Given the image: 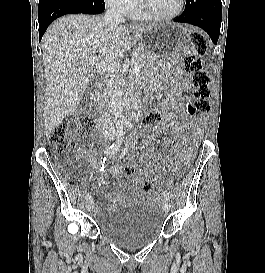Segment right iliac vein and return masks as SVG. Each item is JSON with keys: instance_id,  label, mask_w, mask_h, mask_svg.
Segmentation results:
<instances>
[{"instance_id": "right-iliac-vein-1", "label": "right iliac vein", "mask_w": 265, "mask_h": 273, "mask_svg": "<svg viewBox=\"0 0 265 273\" xmlns=\"http://www.w3.org/2000/svg\"><path fill=\"white\" fill-rule=\"evenodd\" d=\"M93 207H94L93 201L89 200V201L87 202V204H86L87 210L90 212V211H92Z\"/></svg>"}]
</instances>
